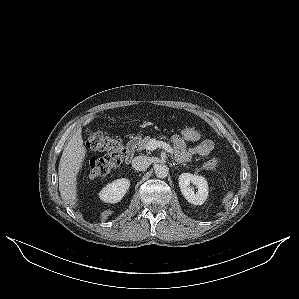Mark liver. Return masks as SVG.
<instances>
[{
    "label": "liver",
    "instance_id": "1",
    "mask_svg": "<svg viewBox=\"0 0 299 299\" xmlns=\"http://www.w3.org/2000/svg\"><path fill=\"white\" fill-rule=\"evenodd\" d=\"M93 118L90 117L84 124H88ZM86 153L82 130L79 128L64 148L58 168L60 195L65 204L71 208L77 206V175L82 168Z\"/></svg>",
    "mask_w": 299,
    "mask_h": 299
}]
</instances>
